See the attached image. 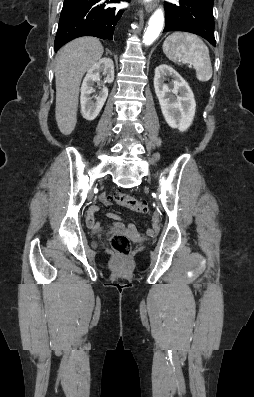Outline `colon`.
Returning a JSON list of instances; mask_svg holds the SVG:
<instances>
[{
	"mask_svg": "<svg viewBox=\"0 0 254 397\" xmlns=\"http://www.w3.org/2000/svg\"><path fill=\"white\" fill-rule=\"evenodd\" d=\"M112 197L117 204L135 213L146 214L149 212L148 205L145 201L137 199L129 194L116 192ZM110 244L113 250L122 257L128 256L132 247L130 239L126 235L117 232L111 234Z\"/></svg>",
	"mask_w": 254,
	"mask_h": 397,
	"instance_id": "obj_1",
	"label": "colon"
}]
</instances>
